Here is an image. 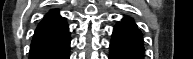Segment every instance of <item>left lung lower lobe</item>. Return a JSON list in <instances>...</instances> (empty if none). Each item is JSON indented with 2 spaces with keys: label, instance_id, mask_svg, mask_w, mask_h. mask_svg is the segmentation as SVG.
<instances>
[{
  "label": "left lung lower lobe",
  "instance_id": "1",
  "mask_svg": "<svg viewBox=\"0 0 193 59\" xmlns=\"http://www.w3.org/2000/svg\"><path fill=\"white\" fill-rule=\"evenodd\" d=\"M109 59H144L142 33L131 18H124L114 28Z\"/></svg>",
  "mask_w": 193,
  "mask_h": 59
}]
</instances>
